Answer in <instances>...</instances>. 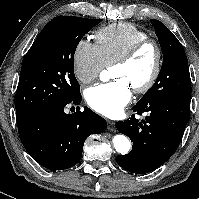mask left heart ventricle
Masks as SVG:
<instances>
[{"label": "left heart ventricle", "instance_id": "left-heart-ventricle-1", "mask_svg": "<svg viewBox=\"0 0 199 199\" xmlns=\"http://www.w3.org/2000/svg\"><path fill=\"white\" fill-rule=\"evenodd\" d=\"M154 61V51L151 48H146L130 64L113 66L111 76L116 79H124L130 87L142 85L150 76Z\"/></svg>", "mask_w": 199, "mask_h": 199}]
</instances>
